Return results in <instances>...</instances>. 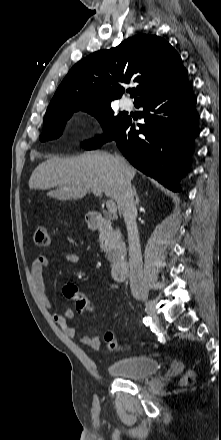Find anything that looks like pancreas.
I'll list each match as a JSON object with an SVG mask.
<instances>
[{
	"label": "pancreas",
	"instance_id": "pancreas-1",
	"mask_svg": "<svg viewBox=\"0 0 221 440\" xmlns=\"http://www.w3.org/2000/svg\"><path fill=\"white\" fill-rule=\"evenodd\" d=\"M115 236L117 238V242L115 243V245L113 246V250L114 252L117 254V260H121L122 257H124V255L126 254L125 251V247L123 242L121 241V235L118 231L115 232ZM106 240V237L101 234L100 235V242H101V246L104 247V241Z\"/></svg>",
	"mask_w": 221,
	"mask_h": 440
}]
</instances>
